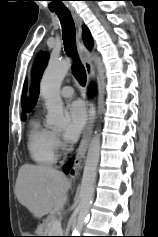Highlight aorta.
<instances>
[{
	"label": "aorta",
	"instance_id": "aorta-1",
	"mask_svg": "<svg viewBox=\"0 0 158 237\" xmlns=\"http://www.w3.org/2000/svg\"><path fill=\"white\" fill-rule=\"evenodd\" d=\"M98 70V98L102 99L105 86L104 67L100 60L95 56L92 57ZM72 59L51 60L43 74L40 91L45 100L48 111L46 122L49 126L63 128L68 124L67 118L63 112V102L60 97V87L64 77L71 67ZM100 157V135L95 132L93 136L85 161L81 188L79 213L75 234H79L84 222L89 214V209L94 197V186L96 182L97 166Z\"/></svg>",
	"mask_w": 158,
	"mask_h": 237
}]
</instances>
